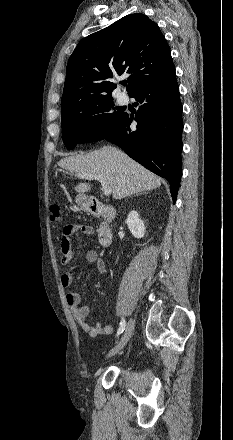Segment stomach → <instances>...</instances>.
<instances>
[{
  "label": "stomach",
  "mask_w": 233,
  "mask_h": 440,
  "mask_svg": "<svg viewBox=\"0 0 233 440\" xmlns=\"http://www.w3.org/2000/svg\"><path fill=\"white\" fill-rule=\"evenodd\" d=\"M76 205L83 210L88 211L91 206V198L84 194H78L75 199Z\"/></svg>",
  "instance_id": "0dacf381"
}]
</instances>
